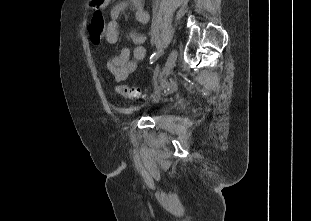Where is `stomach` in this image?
<instances>
[{"mask_svg": "<svg viewBox=\"0 0 311 221\" xmlns=\"http://www.w3.org/2000/svg\"><path fill=\"white\" fill-rule=\"evenodd\" d=\"M108 2L109 0H94V6H97V8H105Z\"/></svg>", "mask_w": 311, "mask_h": 221, "instance_id": "1", "label": "stomach"}]
</instances>
